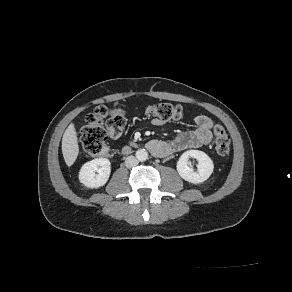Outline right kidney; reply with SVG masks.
I'll return each instance as SVG.
<instances>
[{
  "label": "right kidney",
  "instance_id": "1",
  "mask_svg": "<svg viewBox=\"0 0 292 292\" xmlns=\"http://www.w3.org/2000/svg\"><path fill=\"white\" fill-rule=\"evenodd\" d=\"M110 172L111 163L108 159H93L81 167L79 181L88 188H99L106 184L110 177Z\"/></svg>",
  "mask_w": 292,
  "mask_h": 292
}]
</instances>
